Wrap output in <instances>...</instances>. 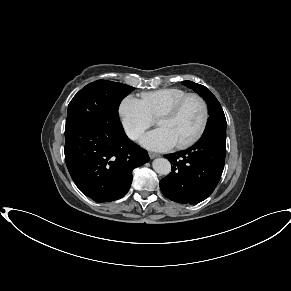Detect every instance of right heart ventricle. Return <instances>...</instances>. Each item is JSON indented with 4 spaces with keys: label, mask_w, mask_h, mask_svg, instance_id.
<instances>
[{
    "label": "right heart ventricle",
    "mask_w": 291,
    "mask_h": 291,
    "mask_svg": "<svg viewBox=\"0 0 291 291\" xmlns=\"http://www.w3.org/2000/svg\"><path fill=\"white\" fill-rule=\"evenodd\" d=\"M187 94H189L187 91L179 88H162L142 93L140 100L151 118H158Z\"/></svg>",
    "instance_id": "obj_1"
}]
</instances>
